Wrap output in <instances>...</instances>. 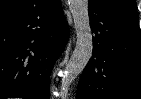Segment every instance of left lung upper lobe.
Wrapping results in <instances>:
<instances>
[{
	"instance_id": "1",
	"label": "left lung upper lobe",
	"mask_w": 141,
	"mask_h": 99,
	"mask_svg": "<svg viewBox=\"0 0 141 99\" xmlns=\"http://www.w3.org/2000/svg\"><path fill=\"white\" fill-rule=\"evenodd\" d=\"M88 2L100 4L113 10H134L136 11L135 0H89Z\"/></svg>"
}]
</instances>
